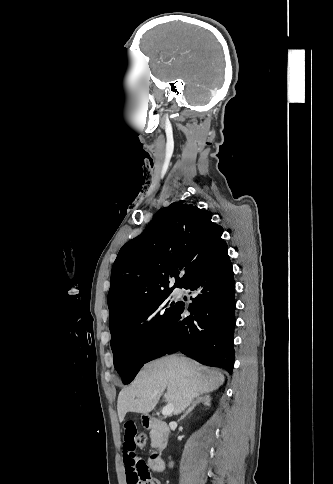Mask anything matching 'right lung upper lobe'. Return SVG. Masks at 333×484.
<instances>
[{
    "label": "right lung upper lobe",
    "mask_w": 333,
    "mask_h": 484,
    "mask_svg": "<svg viewBox=\"0 0 333 484\" xmlns=\"http://www.w3.org/2000/svg\"><path fill=\"white\" fill-rule=\"evenodd\" d=\"M211 218L209 211L174 202L120 249L111 272L109 326L175 287H184L215 257L226 243L223 228Z\"/></svg>",
    "instance_id": "obj_1"
}]
</instances>
